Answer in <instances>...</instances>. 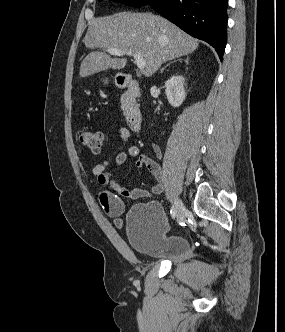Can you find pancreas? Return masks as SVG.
<instances>
[{
    "label": "pancreas",
    "mask_w": 285,
    "mask_h": 332,
    "mask_svg": "<svg viewBox=\"0 0 285 332\" xmlns=\"http://www.w3.org/2000/svg\"><path fill=\"white\" fill-rule=\"evenodd\" d=\"M121 103H122V109H123V111H126V109H127L126 94H124V95L122 96V101H121Z\"/></svg>",
    "instance_id": "obj_1"
}]
</instances>
